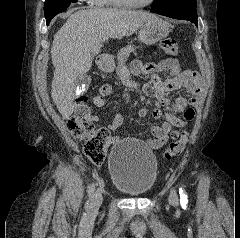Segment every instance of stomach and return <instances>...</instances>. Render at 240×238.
Masks as SVG:
<instances>
[{
  "mask_svg": "<svg viewBox=\"0 0 240 238\" xmlns=\"http://www.w3.org/2000/svg\"><path fill=\"white\" fill-rule=\"evenodd\" d=\"M170 32V24L166 21L158 19L148 22L141 27L139 31V40L144 45H153L158 41L167 37ZM101 68L105 71H112L113 63H102Z\"/></svg>",
  "mask_w": 240,
  "mask_h": 238,
  "instance_id": "1",
  "label": "stomach"
}]
</instances>
